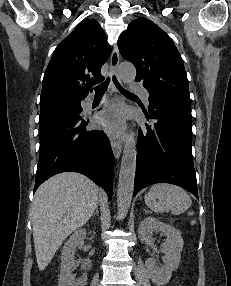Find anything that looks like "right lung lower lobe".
I'll use <instances>...</instances> for the list:
<instances>
[{"label":"right lung lower lobe","instance_id":"right-lung-lower-lobe-1","mask_svg":"<svg viewBox=\"0 0 231 286\" xmlns=\"http://www.w3.org/2000/svg\"><path fill=\"white\" fill-rule=\"evenodd\" d=\"M81 101V100H80ZM79 114L40 125L39 162L35 190L51 176L75 171L89 177L112 196L114 156L102 131H89V121Z\"/></svg>","mask_w":231,"mask_h":286}]
</instances>
